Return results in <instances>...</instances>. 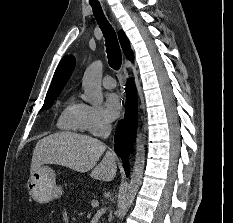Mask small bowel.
I'll return each mask as SVG.
<instances>
[{"mask_svg": "<svg viewBox=\"0 0 233 223\" xmlns=\"http://www.w3.org/2000/svg\"><path fill=\"white\" fill-rule=\"evenodd\" d=\"M63 221H64V223H68L69 222V216H68L67 211H65L64 214H63Z\"/></svg>", "mask_w": 233, "mask_h": 223, "instance_id": "small-bowel-1", "label": "small bowel"}]
</instances>
